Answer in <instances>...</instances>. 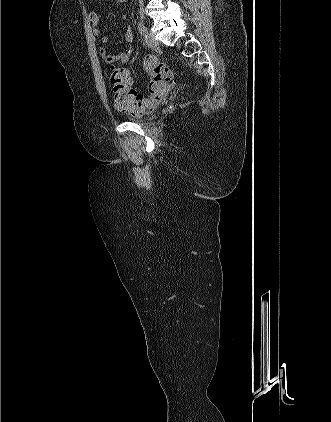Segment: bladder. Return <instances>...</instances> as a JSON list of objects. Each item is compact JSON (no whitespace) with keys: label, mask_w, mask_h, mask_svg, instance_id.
Returning <instances> with one entry per match:
<instances>
[{"label":"bladder","mask_w":331,"mask_h":422,"mask_svg":"<svg viewBox=\"0 0 331 422\" xmlns=\"http://www.w3.org/2000/svg\"><path fill=\"white\" fill-rule=\"evenodd\" d=\"M154 110L144 113L140 116H130L128 120L138 124H145L152 120V113Z\"/></svg>","instance_id":"bladder-1"}]
</instances>
